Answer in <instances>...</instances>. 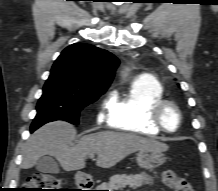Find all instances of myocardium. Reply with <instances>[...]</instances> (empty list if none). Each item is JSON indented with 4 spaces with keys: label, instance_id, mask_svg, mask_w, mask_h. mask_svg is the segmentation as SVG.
<instances>
[{
    "label": "myocardium",
    "instance_id": "f54148a6",
    "mask_svg": "<svg viewBox=\"0 0 218 191\" xmlns=\"http://www.w3.org/2000/svg\"><path fill=\"white\" fill-rule=\"evenodd\" d=\"M167 107L174 108L178 114L179 122H178V126L174 130H168L162 122V113ZM150 121L159 131L167 133V134H174L178 132L180 128L182 127L183 113L180 107L176 103L163 99L157 102L153 106L151 113H150Z\"/></svg>",
    "mask_w": 218,
    "mask_h": 191
}]
</instances>
